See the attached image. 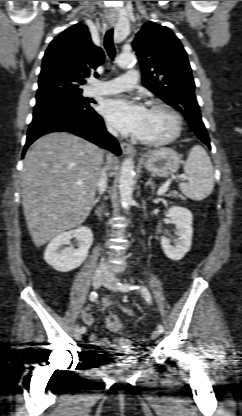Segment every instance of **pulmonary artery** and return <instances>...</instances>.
<instances>
[{
	"label": "pulmonary artery",
	"mask_w": 242,
	"mask_h": 416,
	"mask_svg": "<svg viewBox=\"0 0 242 416\" xmlns=\"http://www.w3.org/2000/svg\"><path fill=\"white\" fill-rule=\"evenodd\" d=\"M138 86V72L129 69L124 75L104 81H96L89 91V95H112L131 90Z\"/></svg>",
	"instance_id": "pulmonary-artery-1"
}]
</instances>
